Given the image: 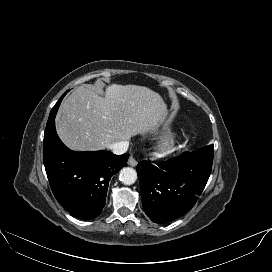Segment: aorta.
<instances>
[{
  "mask_svg": "<svg viewBox=\"0 0 272 272\" xmlns=\"http://www.w3.org/2000/svg\"><path fill=\"white\" fill-rule=\"evenodd\" d=\"M120 181L125 185L134 184L137 180L136 170L131 167H124L120 171Z\"/></svg>",
  "mask_w": 272,
  "mask_h": 272,
  "instance_id": "aorta-1",
  "label": "aorta"
}]
</instances>
